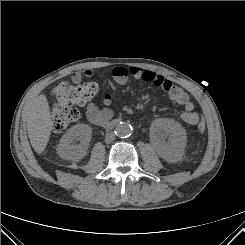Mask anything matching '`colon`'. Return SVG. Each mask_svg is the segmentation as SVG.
<instances>
[{"label":"colon","instance_id":"obj_1","mask_svg":"<svg viewBox=\"0 0 245 245\" xmlns=\"http://www.w3.org/2000/svg\"><path fill=\"white\" fill-rule=\"evenodd\" d=\"M98 91L95 82H85L72 85L69 82H61L53 89L55 104L52 107V127L54 132H62L78 119L79 112L74 105H81L90 101ZM197 130L203 133L205 122L200 120Z\"/></svg>","mask_w":245,"mask_h":245}]
</instances>
